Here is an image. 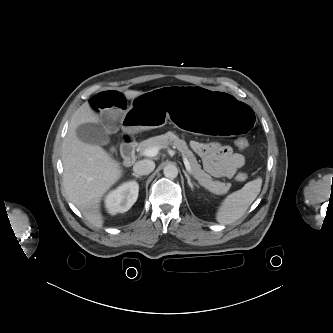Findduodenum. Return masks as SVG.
<instances>
[{
	"label": "duodenum",
	"instance_id": "obj_1",
	"mask_svg": "<svg viewBox=\"0 0 333 333\" xmlns=\"http://www.w3.org/2000/svg\"><path fill=\"white\" fill-rule=\"evenodd\" d=\"M136 140L131 135H125L121 145V153L124 159V164L130 166L136 159Z\"/></svg>",
	"mask_w": 333,
	"mask_h": 333
}]
</instances>
